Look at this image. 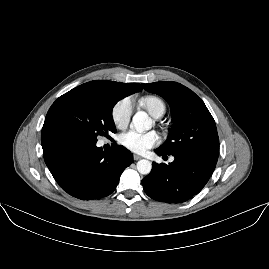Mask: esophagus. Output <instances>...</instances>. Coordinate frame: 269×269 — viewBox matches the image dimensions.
I'll return each mask as SVG.
<instances>
[{
    "label": "esophagus",
    "mask_w": 269,
    "mask_h": 269,
    "mask_svg": "<svg viewBox=\"0 0 269 269\" xmlns=\"http://www.w3.org/2000/svg\"><path fill=\"white\" fill-rule=\"evenodd\" d=\"M140 159H142V156L137 155V154H134V160H135V161H138V160H140Z\"/></svg>",
    "instance_id": "34e87169"
}]
</instances>
